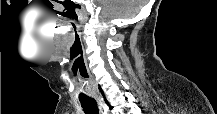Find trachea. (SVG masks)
<instances>
[{
	"label": "trachea",
	"mask_w": 217,
	"mask_h": 114,
	"mask_svg": "<svg viewBox=\"0 0 217 114\" xmlns=\"http://www.w3.org/2000/svg\"><path fill=\"white\" fill-rule=\"evenodd\" d=\"M81 106L86 114H98L97 102L93 98H80Z\"/></svg>",
	"instance_id": "obj_1"
}]
</instances>
